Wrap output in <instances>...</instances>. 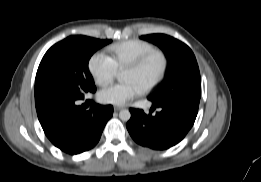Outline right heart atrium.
<instances>
[{
    "label": "right heart atrium",
    "mask_w": 261,
    "mask_h": 182,
    "mask_svg": "<svg viewBox=\"0 0 261 182\" xmlns=\"http://www.w3.org/2000/svg\"><path fill=\"white\" fill-rule=\"evenodd\" d=\"M88 70L96 85H109L117 75V69L104 52L94 53L88 61Z\"/></svg>",
    "instance_id": "right-heart-atrium-1"
}]
</instances>
